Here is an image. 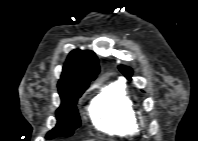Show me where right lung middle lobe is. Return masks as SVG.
<instances>
[{
  "label": "right lung middle lobe",
  "mask_w": 198,
  "mask_h": 141,
  "mask_svg": "<svg viewBox=\"0 0 198 141\" xmlns=\"http://www.w3.org/2000/svg\"><path fill=\"white\" fill-rule=\"evenodd\" d=\"M89 84H74L59 88L61 105L56 111L58 123L46 135L47 139L57 136L69 137L74 130L81 124L76 103L82 93L88 88Z\"/></svg>",
  "instance_id": "dd1d6c3e"
}]
</instances>
